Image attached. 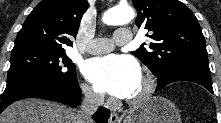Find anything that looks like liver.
Here are the masks:
<instances>
[{"mask_svg": "<svg viewBox=\"0 0 221 123\" xmlns=\"http://www.w3.org/2000/svg\"><path fill=\"white\" fill-rule=\"evenodd\" d=\"M0 123H79V112L54 102L25 99L6 108Z\"/></svg>", "mask_w": 221, "mask_h": 123, "instance_id": "1", "label": "liver"}]
</instances>
